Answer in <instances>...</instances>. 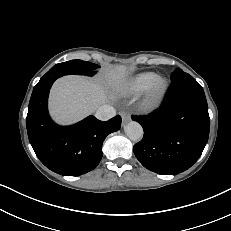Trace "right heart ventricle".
Returning <instances> with one entry per match:
<instances>
[{
  "instance_id": "1",
  "label": "right heart ventricle",
  "mask_w": 231,
  "mask_h": 231,
  "mask_svg": "<svg viewBox=\"0 0 231 231\" xmlns=\"http://www.w3.org/2000/svg\"><path fill=\"white\" fill-rule=\"evenodd\" d=\"M158 75L153 72H142L128 80L121 85V91L124 94H138L146 91L157 79Z\"/></svg>"
}]
</instances>
